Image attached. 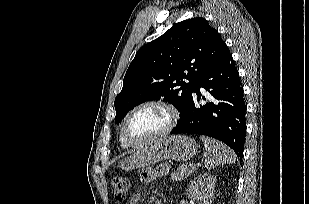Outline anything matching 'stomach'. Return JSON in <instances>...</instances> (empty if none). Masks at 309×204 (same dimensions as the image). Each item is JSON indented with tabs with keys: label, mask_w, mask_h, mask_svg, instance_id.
Wrapping results in <instances>:
<instances>
[{
	"label": "stomach",
	"mask_w": 309,
	"mask_h": 204,
	"mask_svg": "<svg viewBox=\"0 0 309 204\" xmlns=\"http://www.w3.org/2000/svg\"><path fill=\"white\" fill-rule=\"evenodd\" d=\"M197 153V143L186 135L163 137L139 147L132 155L120 162V168L133 170L154 165L163 160L184 162Z\"/></svg>",
	"instance_id": "obj_1"
}]
</instances>
